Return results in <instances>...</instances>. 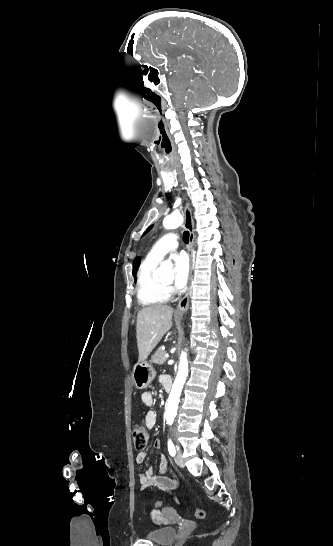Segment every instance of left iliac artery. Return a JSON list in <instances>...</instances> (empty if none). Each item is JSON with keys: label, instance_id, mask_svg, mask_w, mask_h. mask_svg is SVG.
I'll return each instance as SVG.
<instances>
[{"label": "left iliac artery", "instance_id": "obj_1", "mask_svg": "<svg viewBox=\"0 0 333 546\" xmlns=\"http://www.w3.org/2000/svg\"><path fill=\"white\" fill-rule=\"evenodd\" d=\"M168 451H169V454L173 457L175 456V453H176V449H175V446L172 442V440L169 438L168 439Z\"/></svg>", "mask_w": 333, "mask_h": 546}]
</instances>
